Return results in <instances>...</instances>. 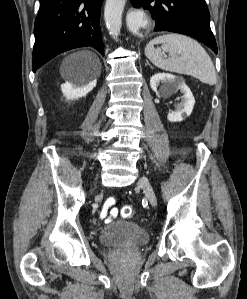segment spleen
Masks as SVG:
<instances>
[{
	"label": "spleen",
	"mask_w": 247,
	"mask_h": 299,
	"mask_svg": "<svg viewBox=\"0 0 247 299\" xmlns=\"http://www.w3.org/2000/svg\"><path fill=\"white\" fill-rule=\"evenodd\" d=\"M164 52L169 53L168 59L163 58ZM145 55L162 70L190 75L209 85L216 83V71L211 57L190 37L180 34L156 37L146 45Z\"/></svg>",
	"instance_id": "obj_1"
}]
</instances>
